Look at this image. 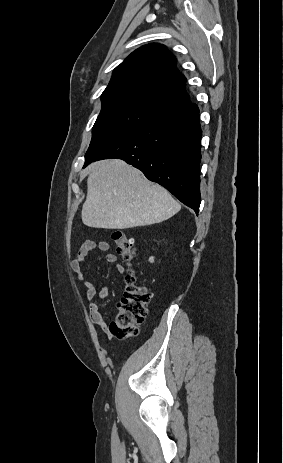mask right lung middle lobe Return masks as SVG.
Masks as SVG:
<instances>
[{
	"mask_svg": "<svg viewBox=\"0 0 283 463\" xmlns=\"http://www.w3.org/2000/svg\"><path fill=\"white\" fill-rule=\"evenodd\" d=\"M102 110L93 126L85 157L158 115L159 109L123 94H102Z\"/></svg>",
	"mask_w": 283,
	"mask_h": 463,
	"instance_id": "right-lung-middle-lobe-1",
	"label": "right lung middle lobe"
}]
</instances>
